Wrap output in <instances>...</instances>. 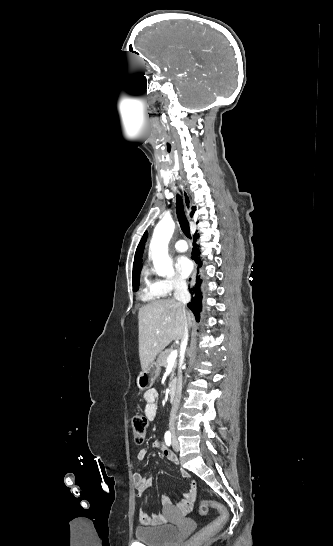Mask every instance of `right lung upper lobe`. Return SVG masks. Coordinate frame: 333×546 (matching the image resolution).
Listing matches in <instances>:
<instances>
[{
  "label": "right lung upper lobe",
  "instance_id": "obj_1",
  "mask_svg": "<svg viewBox=\"0 0 333 546\" xmlns=\"http://www.w3.org/2000/svg\"><path fill=\"white\" fill-rule=\"evenodd\" d=\"M196 210V207H192V211H191V216L193 215L194 211ZM147 236H148V232L146 231L137 247V250H136V253H135V261L133 263V266H137V272L140 273L141 271V261H142V255H143V251H144V247H145V242H146V239H147ZM135 279L133 277V283H134Z\"/></svg>",
  "mask_w": 333,
  "mask_h": 546
}]
</instances>
